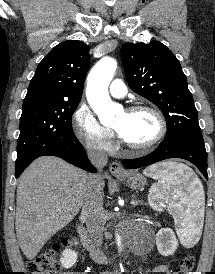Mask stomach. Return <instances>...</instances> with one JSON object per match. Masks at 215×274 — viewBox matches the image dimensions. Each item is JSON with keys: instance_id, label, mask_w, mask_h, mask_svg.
<instances>
[{"instance_id": "obj_1", "label": "stomach", "mask_w": 215, "mask_h": 274, "mask_svg": "<svg viewBox=\"0 0 215 274\" xmlns=\"http://www.w3.org/2000/svg\"><path fill=\"white\" fill-rule=\"evenodd\" d=\"M120 181L126 182V184L132 189H141L146 185V178L138 173H128L125 176H116Z\"/></svg>"}]
</instances>
